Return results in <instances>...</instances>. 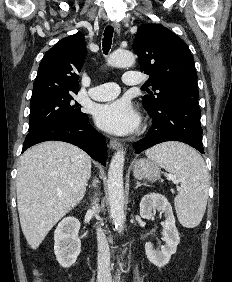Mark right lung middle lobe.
<instances>
[{"instance_id":"obj_1","label":"right lung middle lobe","mask_w":232,"mask_h":282,"mask_svg":"<svg viewBox=\"0 0 232 282\" xmlns=\"http://www.w3.org/2000/svg\"><path fill=\"white\" fill-rule=\"evenodd\" d=\"M78 91L45 89L33 91L30 101L29 131L52 124L58 120H81L87 114L74 100Z\"/></svg>"}]
</instances>
